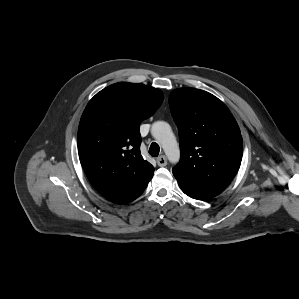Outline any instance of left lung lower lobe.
<instances>
[{
	"instance_id": "0a47b994",
	"label": "left lung lower lobe",
	"mask_w": 299,
	"mask_h": 299,
	"mask_svg": "<svg viewBox=\"0 0 299 299\" xmlns=\"http://www.w3.org/2000/svg\"><path fill=\"white\" fill-rule=\"evenodd\" d=\"M185 194H186V193H185ZM187 195H188V194H187ZM188 196H190L191 198H194V199L203 200V199H201V198L194 197V196H191V195H188Z\"/></svg>"
}]
</instances>
